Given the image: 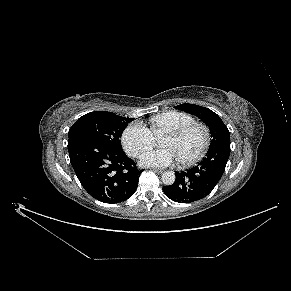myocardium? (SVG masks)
<instances>
[{"mask_svg": "<svg viewBox=\"0 0 291 291\" xmlns=\"http://www.w3.org/2000/svg\"><path fill=\"white\" fill-rule=\"evenodd\" d=\"M196 129H199L202 131L203 142H202L200 149L196 152V154H194L192 157H190L188 159L179 160V162L181 164L186 165V166L196 163L204 156V154L207 151V149L210 145V142H211L210 128L204 123L194 122V123L185 125L181 128H178L176 130L167 132L164 135V136L173 137V138H181V137L187 135L188 133H190Z\"/></svg>", "mask_w": 291, "mask_h": 291, "instance_id": "myocardium-1", "label": "myocardium"}]
</instances>
